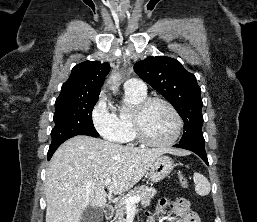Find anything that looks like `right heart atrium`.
Here are the masks:
<instances>
[{
  "mask_svg": "<svg viewBox=\"0 0 257 222\" xmlns=\"http://www.w3.org/2000/svg\"><path fill=\"white\" fill-rule=\"evenodd\" d=\"M106 105V99L101 98L98 107L104 108ZM94 125L97 131L105 138L112 141H119L122 136V129L116 121L115 115H110V122L105 125H100L96 120Z\"/></svg>",
  "mask_w": 257,
  "mask_h": 222,
  "instance_id": "obj_1",
  "label": "right heart atrium"
}]
</instances>
